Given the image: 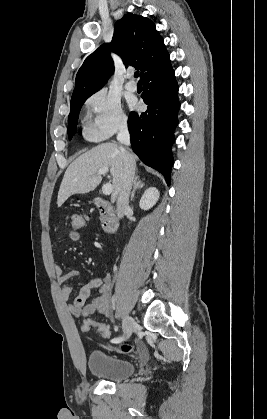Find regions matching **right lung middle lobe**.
<instances>
[{"mask_svg": "<svg viewBox=\"0 0 267 419\" xmlns=\"http://www.w3.org/2000/svg\"><path fill=\"white\" fill-rule=\"evenodd\" d=\"M88 97L89 96H85V97H81V98H77V99H71L70 114H69V117H68L69 139H71L76 133V126H77L79 112H80V109H81L83 103L86 101V99Z\"/></svg>", "mask_w": 267, "mask_h": 419, "instance_id": "dd1d6c3e", "label": "right lung middle lobe"}]
</instances>
